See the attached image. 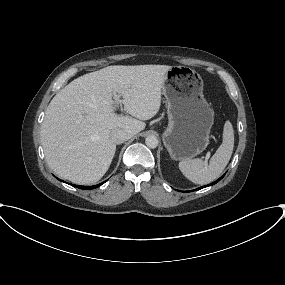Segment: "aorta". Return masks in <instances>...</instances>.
I'll use <instances>...</instances> for the list:
<instances>
[{
	"label": "aorta",
	"mask_w": 285,
	"mask_h": 285,
	"mask_svg": "<svg viewBox=\"0 0 285 285\" xmlns=\"http://www.w3.org/2000/svg\"><path fill=\"white\" fill-rule=\"evenodd\" d=\"M145 143L149 148H156L158 146V139L156 136L154 135H149L146 139H145Z\"/></svg>",
	"instance_id": "obj_1"
}]
</instances>
